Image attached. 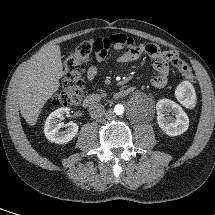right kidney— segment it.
I'll return each mask as SVG.
<instances>
[{
    "instance_id": "right-kidney-1",
    "label": "right kidney",
    "mask_w": 215,
    "mask_h": 215,
    "mask_svg": "<svg viewBox=\"0 0 215 215\" xmlns=\"http://www.w3.org/2000/svg\"><path fill=\"white\" fill-rule=\"evenodd\" d=\"M69 108H59L52 112L46 119L44 133L47 139L57 144L68 143L78 132V125L74 122L64 125L60 122L64 115L68 113ZM67 127L65 130L61 128Z\"/></svg>"
}]
</instances>
